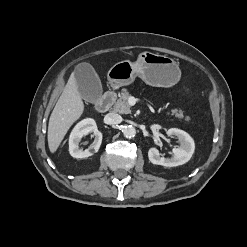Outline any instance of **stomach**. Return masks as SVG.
I'll return each mask as SVG.
<instances>
[{
	"label": "stomach",
	"instance_id": "obj_1",
	"mask_svg": "<svg viewBox=\"0 0 247 247\" xmlns=\"http://www.w3.org/2000/svg\"><path fill=\"white\" fill-rule=\"evenodd\" d=\"M137 76L151 86L171 87L179 81L181 72L172 58L146 51L136 62L124 60L116 63L107 74L113 88L129 85Z\"/></svg>",
	"mask_w": 247,
	"mask_h": 247
}]
</instances>
